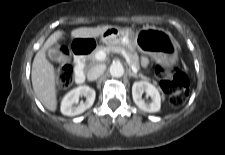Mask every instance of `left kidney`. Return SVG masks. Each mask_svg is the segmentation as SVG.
Instances as JSON below:
<instances>
[{
  "mask_svg": "<svg viewBox=\"0 0 225 155\" xmlns=\"http://www.w3.org/2000/svg\"><path fill=\"white\" fill-rule=\"evenodd\" d=\"M146 93L151 98L150 103L142 99V94ZM132 96L135 104L143 111L154 113L158 112L161 107V96L158 89L146 81L135 82L132 86Z\"/></svg>",
  "mask_w": 225,
  "mask_h": 155,
  "instance_id": "left-kidney-1",
  "label": "left kidney"
}]
</instances>
